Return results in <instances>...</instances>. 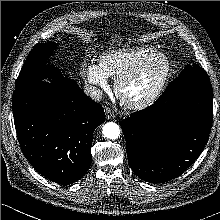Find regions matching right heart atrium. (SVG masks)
Instances as JSON below:
<instances>
[{"mask_svg":"<svg viewBox=\"0 0 220 220\" xmlns=\"http://www.w3.org/2000/svg\"><path fill=\"white\" fill-rule=\"evenodd\" d=\"M82 73L88 83L101 89L108 87V76L101 67L94 62H86L83 64Z\"/></svg>","mask_w":220,"mask_h":220,"instance_id":"1","label":"right heart atrium"}]
</instances>
